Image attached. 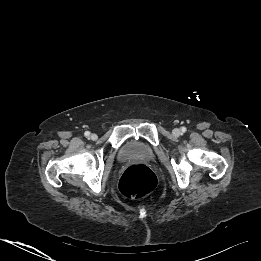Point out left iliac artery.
I'll list each match as a JSON object with an SVG mask.
<instances>
[{
    "mask_svg": "<svg viewBox=\"0 0 261 261\" xmlns=\"http://www.w3.org/2000/svg\"><path fill=\"white\" fill-rule=\"evenodd\" d=\"M182 132L184 133L186 131V128L185 127H182Z\"/></svg>",
    "mask_w": 261,
    "mask_h": 261,
    "instance_id": "left-iliac-artery-1",
    "label": "left iliac artery"
}]
</instances>
